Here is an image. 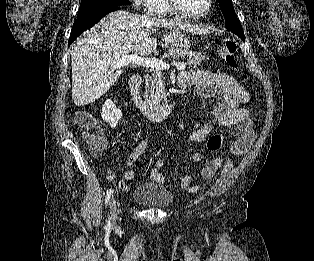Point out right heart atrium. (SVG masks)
I'll list each match as a JSON object with an SVG mask.
<instances>
[{
  "instance_id": "d8ad5b80",
  "label": "right heart atrium",
  "mask_w": 314,
  "mask_h": 261,
  "mask_svg": "<svg viewBox=\"0 0 314 261\" xmlns=\"http://www.w3.org/2000/svg\"><path fill=\"white\" fill-rule=\"evenodd\" d=\"M139 7H145L148 10H151L152 6L156 0H132Z\"/></svg>"
}]
</instances>
